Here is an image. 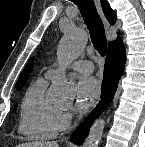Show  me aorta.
<instances>
[{
  "label": "aorta",
  "instance_id": "1",
  "mask_svg": "<svg viewBox=\"0 0 145 147\" xmlns=\"http://www.w3.org/2000/svg\"><path fill=\"white\" fill-rule=\"evenodd\" d=\"M87 43V35L84 30L77 27H70L64 33L58 46V60L63 67L77 59L83 52ZM73 94V86L66 78L64 71L57 75L52 82L51 98L57 101L69 99ZM105 121L102 118L97 119L91 127L88 138L83 147H98L99 141L103 135Z\"/></svg>",
  "mask_w": 145,
  "mask_h": 147
}]
</instances>
